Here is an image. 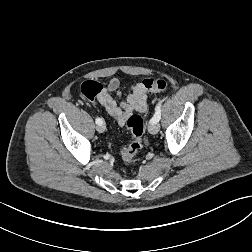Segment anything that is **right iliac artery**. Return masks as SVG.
<instances>
[{"instance_id": "1", "label": "right iliac artery", "mask_w": 252, "mask_h": 252, "mask_svg": "<svg viewBox=\"0 0 252 252\" xmlns=\"http://www.w3.org/2000/svg\"><path fill=\"white\" fill-rule=\"evenodd\" d=\"M103 123V120L101 118H96V124L100 125Z\"/></svg>"}]
</instances>
